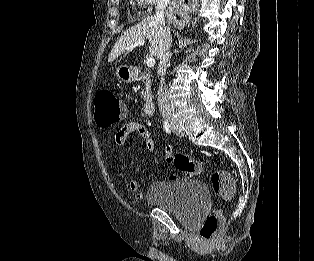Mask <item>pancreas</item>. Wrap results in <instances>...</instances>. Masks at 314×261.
Masks as SVG:
<instances>
[{
    "mask_svg": "<svg viewBox=\"0 0 314 261\" xmlns=\"http://www.w3.org/2000/svg\"><path fill=\"white\" fill-rule=\"evenodd\" d=\"M145 91L147 92V96H151V94L149 93V83L146 84Z\"/></svg>",
    "mask_w": 314,
    "mask_h": 261,
    "instance_id": "pancreas-1",
    "label": "pancreas"
}]
</instances>
